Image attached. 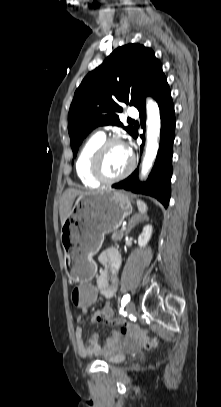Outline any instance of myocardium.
Wrapping results in <instances>:
<instances>
[{
  "label": "myocardium",
  "mask_w": 221,
  "mask_h": 407,
  "mask_svg": "<svg viewBox=\"0 0 221 407\" xmlns=\"http://www.w3.org/2000/svg\"><path fill=\"white\" fill-rule=\"evenodd\" d=\"M113 144L124 145L123 141L119 138H116V137L107 138L98 146V148L95 150V152L93 153V155L90 159V164H89L90 174L96 181H98L99 183H102V184H112V183L121 181V180L125 179L126 177H128L135 168V164H136L135 157L130 153L129 166L123 173H121L115 177H107L106 175H104V173L102 172V168H101L102 159H103V156H104L106 150Z\"/></svg>",
  "instance_id": "obj_1"
}]
</instances>
